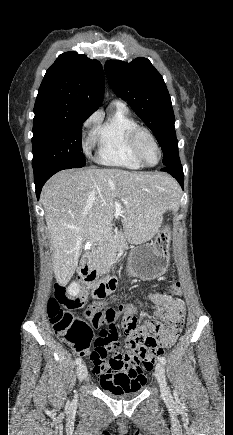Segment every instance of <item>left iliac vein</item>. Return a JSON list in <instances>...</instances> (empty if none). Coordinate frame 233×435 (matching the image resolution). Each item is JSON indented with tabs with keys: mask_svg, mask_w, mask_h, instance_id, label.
Masks as SVG:
<instances>
[{
	"mask_svg": "<svg viewBox=\"0 0 233 435\" xmlns=\"http://www.w3.org/2000/svg\"><path fill=\"white\" fill-rule=\"evenodd\" d=\"M155 376H156V379L159 383L161 393L163 395L168 394V388H167L166 379H165V369H164L163 363L158 362L156 364Z\"/></svg>",
	"mask_w": 233,
	"mask_h": 435,
	"instance_id": "obj_1",
	"label": "left iliac vein"
}]
</instances>
